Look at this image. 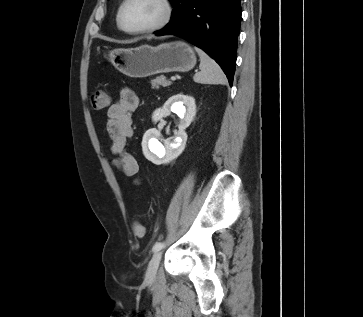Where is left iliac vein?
<instances>
[{
  "instance_id": "left-iliac-vein-1",
  "label": "left iliac vein",
  "mask_w": 363,
  "mask_h": 317,
  "mask_svg": "<svg viewBox=\"0 0 363 317\" xmlns=\"http://www.w3.org/2000/svg\"><path fill=\"white\" fill-rule=\"evenodd\" d=\"M161 256H162V252L161 251H156L152 257V259L150 260L147 270H146V274H145V279L148 282H151L155 279L156 274H157V270L159 267V263L161 260Z\"/></svg>"
}]
</instances>
